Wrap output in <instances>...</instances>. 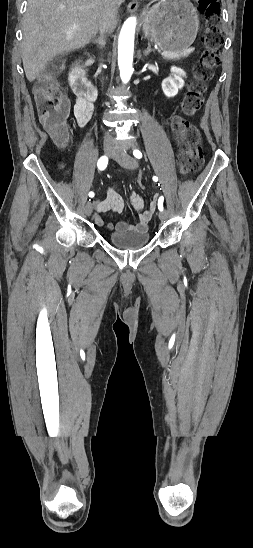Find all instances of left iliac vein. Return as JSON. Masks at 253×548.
I'll return each mask as SVG.
<instances>
[{
	"instance_id": "left-iliac-vein-1",
	"label": "left iliac vein",
	"mask_w": 253,
	"mask_h": 548,
	"mask_svg": "<svg viewBox=\"0 0 253 548\" xmlns=\"http://www.w3.org/2000/svg\"><path fill=\"white\" fill-rule=\"evenodd\" d=\"M113 158L126 169H134L138 166L136 159L119 147L115 148ZM158 216L160 220L165 221L168 218V213L166 211H160Z\"/></svg>"
}]
</instances>
